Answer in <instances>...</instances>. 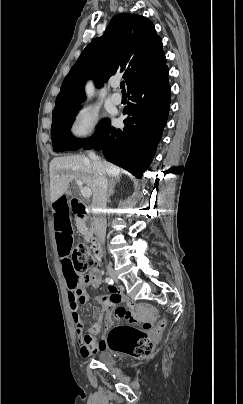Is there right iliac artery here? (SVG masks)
I'll return each mask as SVG.
<instances>
[{"mask_svg": "<svg viewBox=\"0 0 243 404\" xmlns=\"http://www.w3.org/2000/svg\"><path fill=\"white\" fill-rule=\"evenodd\" d=\"M105 281H106V283H108V284H110V285H112L114 282H113V279H111L110 277H107L106 279H105Z\"/></svg>", "mask_w": 243, "mask_h": 404, "instance_id": "1", "label": "right iliac artery"}]
</instances>
